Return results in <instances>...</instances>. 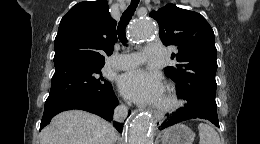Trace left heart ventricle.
<instances>
[{
  "label": "left heart ventricle",
  "instance_id": "left-heart-ventricle-1",
  "mask_svg": "<svg viewBox=\"0 0 260 144\" xmlns=\"http://www.w3.org/2000/svg\"><path fill=\"white\" fill-rule=\"evenodd\" d=\"M164 96H165V95H163V97H162V99L160 100L159 104H161V103L164 101Z\"/></svg>",
  "mask_w": 260,
  "mask_h": 144
}]
</instances>
